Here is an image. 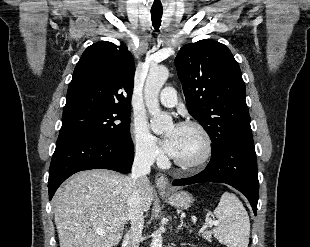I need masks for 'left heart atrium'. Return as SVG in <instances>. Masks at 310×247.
I'll return each mask as SVG.
<instances>
[{
	"instance_id": "1",
	"label": "left heart atrium",
	"mask_w": 310,
	"mask_h": 247,
	"mask_svg": "<svg viewBox=\"0 0 310 247\" xmlns=\"http://www.w3.org/2000/svg\"><path fill=\"white\" fill-rule=\"evenodd\" d=\"M163 148L167 154L173 157L176 148V132L172 131L163 140Z\"/></svg>"
}]
</instances>
